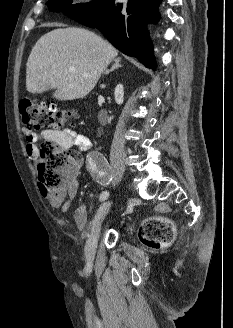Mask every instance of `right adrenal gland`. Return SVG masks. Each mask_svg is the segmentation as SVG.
<instances>
[{
    "instance_id": "right-adrenal-gland-1",
    "label": "right adrenal gland",
    "mask_w": 233,
    "mask_h": 328,
    "mask_svg": "<svg viewBox=\"0 0 233 328\" xmlns=\"http://www.w3.org/2000/svg\"><path fill=\"white\" fill-rule=\"evenodd\" d=\"M120 61H121V58H120V57L115 58V59H114V65L111 67V69L106 70V71L104 72V74H108V73L114 71L115 69L121 67Z\"/></svg>"
}]
</instances>
